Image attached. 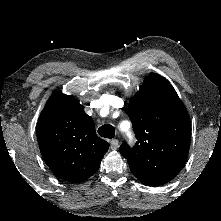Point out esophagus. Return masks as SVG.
I'll use <instances>...</instances> for the list:
<instances>
[{"label":"esophagus","instance_id":"1","mask_svg":"<svg viewBox=\"0 0 221 221\" xmlns=\"http://www.w3.org/2000/svg\"><path fill=\"white\" fill-rule=\"evenodd\" d=\"M110 144H111V149L116 150L119 146V141L117 139H113V140H111Z\"/></svg>","mask_w":221,"mask_h":221}]
</instances>
